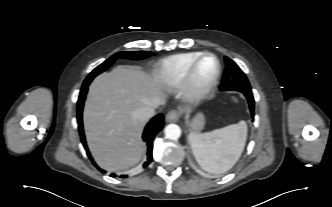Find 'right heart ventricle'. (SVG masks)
<instances>
[{
  "label": "right heart ventricle",
  "instance_id": "obj_1",
  "mask_svg": "<svg viewBox=\"0 0 332 207\" xmlns=\"http://www.w3.org/2000/svg\"><path fill=\"white\" fill-rule=\"evenodd\" d=\"M202 52H186L171 55L161 60L157 65L159 78L169 87H177L183 83L186 73L192 62Z\"/></svg>",
  "mask_w": 332,
  "mask_h": 207
}]
</instances>
